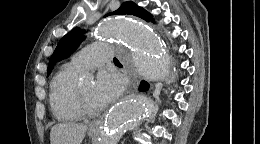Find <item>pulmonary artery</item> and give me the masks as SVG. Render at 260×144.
Here are the masks:
<instances>
[{"instance_id": "1", "label": "pulmonary artery", "mask_w": 260, "mask_h": 144, "mask_svg": "<svg viewBox=\"0 0 260 144\" xmlns=\"http://www.w3.org/2000/svg\"><path fill=\"white\" fill-rule=\"evenodd\" d=\"M112 47L105 43L91 44L73 55L71 62L80 70H91L112 61Z\"/></svg>"}]
</instances>
